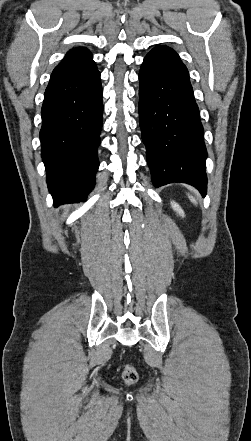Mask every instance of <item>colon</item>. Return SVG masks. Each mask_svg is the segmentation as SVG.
Masks as SVG:
<instances>
[{"instance_id": "5ec220e1", "label": "colon", "mask_w": 251, "mask_h": 441, "mask_svg": "<svg viewBox=\"0 0 251 441\" xmlns=\"http://www.w3.org/2000/svg\"><path fill=\"white\" fill-rule=\"evenodd\" d=\"M122 377L127 385H132L137 382L138 373L132 365L126 364L122 373Z\"/></svg>"}]
</instances>
